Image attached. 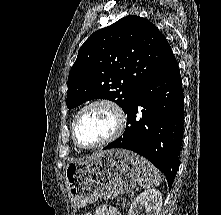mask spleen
Instances as JSON below:
<instances>
[{
    "mask_svg": "<svg viewBox=\"0 0 221 215\" xmlns=\"http://www.w3.org/2000/svg\"><path fill=\"white\" fill-rule=\"evenodd\" d=\"M141 164L143 175L139 180L140 186L145 189L152 186H158L161 183V175L159 171L145 158H141Z\"/></svg>",
    "mask_w": 221,
    "mask_h": 215,
    "instance_id": "3e777b00",
    "label": "spleen"
}]
</instances>
